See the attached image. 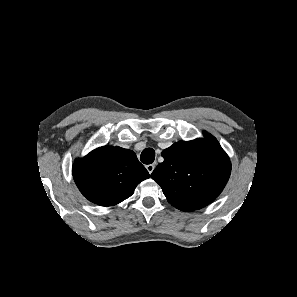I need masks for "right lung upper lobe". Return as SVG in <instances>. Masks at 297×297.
<instances>
[{"mask_svg": "<svg viewBox=\"0 0 297 297\" xmlns=\"http://www.w3.org/2000/svg\"><path fill=\"white\" fill-rule=\"evenodd\" d=\"M72 173L80 192L105 207L127 199L140 182L150 177L133 151L117 146L100 147L76 159Z\"/></svg>", "mask_w": 297, "mask_h": 297, "instance_id": "right-lung-upper-lobe-1", "label": "right lung upper lobe"}]
</instances>
